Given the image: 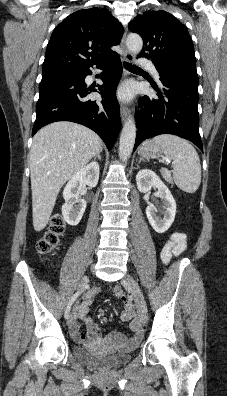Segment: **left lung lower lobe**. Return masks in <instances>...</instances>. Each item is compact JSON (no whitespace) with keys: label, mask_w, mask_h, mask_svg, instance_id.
Returning a JSON list of instances; mask_svg holds the SVG:
<instances>
[{"label":"left lung lower lobe","mask_w":227,"mask_h":396,"mask_svg":"<svg viewBox=\"0 0 227 396\" xmlns=\"http://www.w3.org/2000/svg\"><path fill=\"white\" fill-rule=\"evenodd\" d=\"M164 88L158 98H140L143 108L135 115L138 128L134 150L145 139L174 134L193 142L203 151L199 134L198 76L156 67Z\"/></svg>","instance_id":"obj_1"}]
</instances>
